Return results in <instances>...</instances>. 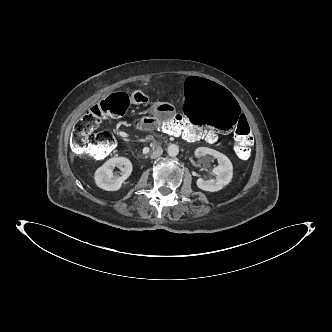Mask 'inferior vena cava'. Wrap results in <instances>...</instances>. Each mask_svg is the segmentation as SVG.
<instances>
[{
	"label": "inferior vena cava",
	"mask_w": 332,
	"mask_h": 332,
	"mask_svg": "<svg viewBox=\"0 0 332 332\" xmlns=\"http://www.w3.org/2000/svg\"><path fill=\"white\" fill-rule=\"evenodd\" d=\"M163 153V149L161 147H158L152 154H151V159L158 158L161 156Z\"/></svg>",
	"instance_id": "1"
}]
</instances>
